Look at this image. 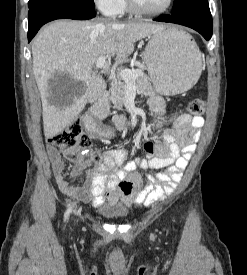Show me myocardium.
Returning <instances> with one entry per match:
<instances>
[{
    "instance_id": "f54148a6",
    "label": "myocardium",
    "mask_w": 247,
    "mask_h": 275,
    "mask_svg": "<svg viewBox=\"0 0 247 275\" xmlns=\"http://www.w3.org/2000/svg\"><path fill=\"white\" fill-rule=\"evenodd\" d=\"M126 2H127L129 10L134 14L145 15V16H155V15L163 14L166 11H168L171 8L174 0H168L167 4L163 8L158 9V10L145 9L140 5L138 0H126Z\"/></svg>"
}]
</instances>
